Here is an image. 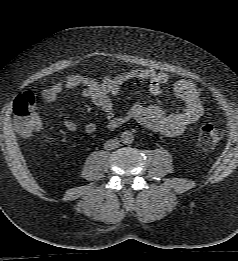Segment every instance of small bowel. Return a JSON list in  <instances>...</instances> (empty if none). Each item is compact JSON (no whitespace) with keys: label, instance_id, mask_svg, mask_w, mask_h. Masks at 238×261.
<instances>
[{"label":"small bowel","instance_id":"small-bowel-1","mask_svg":"<svg viewBox=\"0 0 238 261\" xmlns=\"http://www.w3.org/2000/svg\"><path fill=\"white\" fill-rule=\"evenodd\" d=\"M132 80H145L153 95H159L163 86L169 82L166 72H156L152 68L142 67L124 72L116 77H105L98 82L95 79L71 74L54 83L41 93L43 107L55 101L64 90L83 87L82 96L90 99L106 115L107 129L116 130L128 122L135 121L144 128L166 136H178L189 126L196 123L203 113L201 91L192 81L182 79L174 83L173 90L183 102V107L175 112H166L158 105L132 104L123 115H116L114 101L120 89ZM42 124L40 125L41 128ZM68 131H75L79 125L73 120L63 124ZM86 133L97 131V125L89 122L83 125Z\"/></svg>","mask_w":238,"mask_h":261}]
</instances>
